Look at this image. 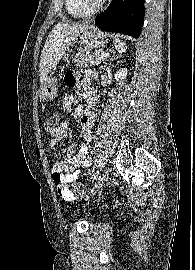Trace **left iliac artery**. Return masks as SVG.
<instances>
[{"instance_id":"left-iliac-artery-1","label":"left iliac artery","mask_w":195,"mask_h":270,"mask_svg":"<svg viewBox=\"0 0 195 270\" xmlns=\"http://www.w3.org/2000/svg\"><path fill=\"white\" fill-rule=\"evenodd\" d=\"M100 171H101V169H100V170L98 169V170L96 171L95 176H94V180H95L96 177L99 175Z\"/></svg>"}]
</instances>
